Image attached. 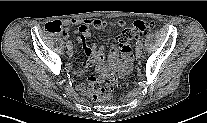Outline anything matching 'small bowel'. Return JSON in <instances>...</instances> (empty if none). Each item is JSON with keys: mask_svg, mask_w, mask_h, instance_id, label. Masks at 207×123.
Here are the masks:
<instances>
[{"mask_svg": "<svg viewBox=\"0 0 207 123\" xmlns=\"http://www.w3.org/2000/svg\"><path fill=\"white\" fill-rule=\"evenodd\" d=\"M76 25L78 26V41L83 45L85 53L89 59L88 63L85 65V70L82 72H78L77 75L81 77L85 71L92 66L94 62L101 64L104 60V52L102 48H97L95 45H87L86 38L89 36V25L90 21L88 20H66L62 21V30L61 35L64 37H68L70 26ZM121 26V22L113 21L110 23L111 30H117ZM109 65L112 70L118 71L120 74H125L128 72L132 65V58L130 53V48L123 53L122 62L119 61L118 52L114 45L109 46V55H108ZM78 89L81 93L88 95L91 92L90 84H80Z\"/></svg>", "mask_w": 207, "mask_h": 123, "instance_id": "small-bowel-1", "label": "small bowel"}]
</instances>
